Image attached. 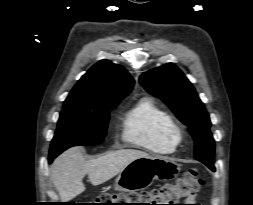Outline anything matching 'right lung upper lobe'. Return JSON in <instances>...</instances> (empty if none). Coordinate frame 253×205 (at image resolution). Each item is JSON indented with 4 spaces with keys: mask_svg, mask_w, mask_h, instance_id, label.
<instances>
[{
    "mask_svg": "<svg viewBox=\"0 0 253 205\" xmlns=\"http://www.w3.org/2000/svg\"><path fill=\"white\" fill-rule=\"evenodd\" d=\"M133 84V78L122 66L101 60L81 77L64 106L97 107L109 100L122 99Z\"/></svg>",
    "mask_w": 253,
    "mask_h": 205,
    "instance_id": "cb5924a9",
    "label": "right lung upper lobe"
}]
</instances>
